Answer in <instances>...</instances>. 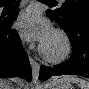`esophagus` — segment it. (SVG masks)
I'll return each instance as SVG.
<instances>
[{
	"mask_svg": "<svg viewBox=\"0 0 89 89\" xmlns=\"http://www.w3.org/2000/svg\"><path fill=\"white\" fill-rule=\"evenodd\" d=\"M29 59L32 67L33 76L37 78V75L39 73V64L32 57H30Z\"/></svg>",
	"mask_w": 89,
	"mask_h": 89,
	"instance_id": "esophagus-1",
	"label": "esophagus"
}]
</instances>
